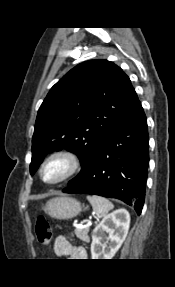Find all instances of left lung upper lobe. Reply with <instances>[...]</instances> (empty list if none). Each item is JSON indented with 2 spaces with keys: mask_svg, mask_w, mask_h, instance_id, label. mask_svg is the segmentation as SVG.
Returning a JSON list of instances; mask_svg holds the SVG:
<instances>
[{
  "mask_svg": "<svg viewBox=\"0 0 175 287\" xmlns=\"http://www.w3.org/2000/svg\"><path fill=\"white\" fill-rule=\"evenodd\" d=\"M138 101L129 77L114 63L90 60L77 65L51 88L39 108L30 173L49 152L66 149L80 159L82 169L68 184L77 181L90 169L103 139Z\"/></svg>",
  "mask_w": 175,
  "mask_h": 287,
  "instance_id": "left-lung-upper-lobe-1",
  "label": "left lung upper lobe"
}]
</instances>
